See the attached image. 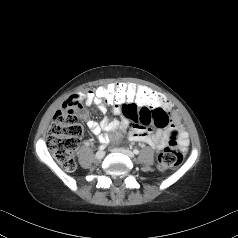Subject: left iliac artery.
<instances>
[{
    "label": "left iliac artery",
    "instance_id": "1",
    "mask_svg": "<svg viewBox=\"0 0 238 238\" xmlns=\"http://www.w3.org/2000/svg\"><path fill=\"white\" fill-rule=\"evenodd\" d=\"M133 152H134L136 155L139 154V150H137V149H134Z\"/></svg>",
    "mask_w": 238,
    "mask_h": 238
}]
</instances>
